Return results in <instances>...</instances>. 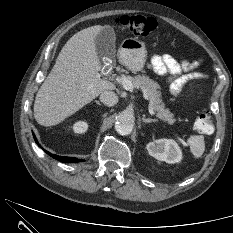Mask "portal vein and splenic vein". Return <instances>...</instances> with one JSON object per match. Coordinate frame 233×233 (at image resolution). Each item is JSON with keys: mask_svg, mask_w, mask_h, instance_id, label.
<instances>
[{"mask_svg": "<svg viewBox=\"0 0 233 233\" xmlns=\"http://www.w3.org/2000/svg\"><path fill=\"white\" fill-rule=\"evenodd\" d=\"M121 85L123 86L125 90L131 91L133 89V85L131 81L125 76L121 78ZM143 93H144V97L147 98V93L144 89H143ZM148 110L151 115H155V112L153 111V108L151 106H149Z\"/></svg>", "mask_w": 233, "mask_h": 233, "instance_id": "obj_1", "label": "portal vein and splenic vein"}]
</instances>
